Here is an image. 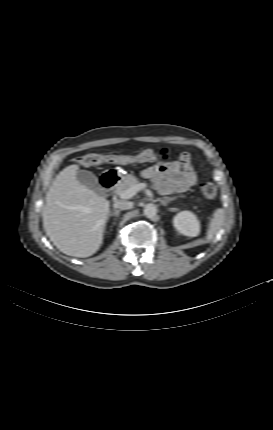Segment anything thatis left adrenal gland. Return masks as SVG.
Instances as JSON below:
<instances>
[{
    "instance_id": "a2214340",
    "label": "left adrenal gland",
    "mask_w": 273,
    "mask_h": 430,
    "mask_svg": "<svg viewBox=\"0 0 273 430\" xmlns=\"http://www.w3.org/2000/svg\"><path fill=\"white\" fill-rule=\"evenodd\" d=\"M172 200H173V198L166 197V198H164V199L160 200V203H161L163 206H167V204H168L170 201H172Z\"/></svg>"
}]
</instances>
